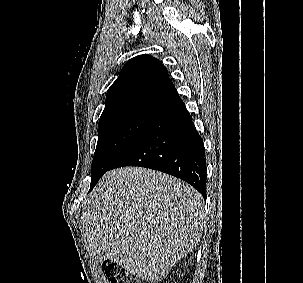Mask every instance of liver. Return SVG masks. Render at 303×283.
Listing matches in <instances>:
<instances>
[{
    "mask_svg": "<svg viewBox=\"0 0 303 283\" xmlns=\"http://www.w3.org/2000/svg\"><path fill=\"white\" fill-rule=\"evenodd\" d=\"M204 201L167 174L125 167L107 172L83 208L88 250L96 262H115L158 283L200 241Z\"/></svg>",
    "mask_w": 303,
    "mask_h": 283,
    "instance_id": "liver-1",
    "label": "liver"
}]
</instances>
